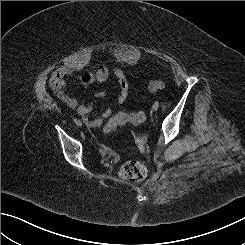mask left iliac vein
<instances>
[{"instance_id":"left-iliac-vein-1","label":"left iliac vein","mask_w":245,"mask_h":245,"mask_svg":"<svg viewBox=\"0 0 245 245\" xmlns=\"http://www.w3.org/2000/svg\"><path fill=\"white\" fill-rule=\"evenodd\" d=\"M158 108H159V105H157V104H153V106H152V110H153V111L158 110Z\"/></svg>"}]
</instances>
